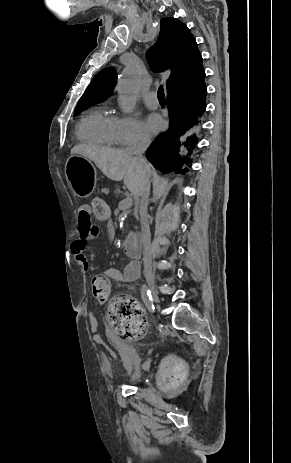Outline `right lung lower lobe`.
Returning a JSON list of instances; mask_svg holds the SVG:
<instances>
[{"mask_svg":"<svg viewBox=\"0 0 291 463\" xmlns=\"http://www.w3.org/2000/svg\"><path fill=\"white\" fill-rule=\"evenodd\" d=\"M205 72L197 86L190 90L168 92L167 106L170 112V127L149 146L146 156L152 165L163 173L181 170L183 163L192 162L191 156L198 143L202 116L206 110ZM191 167V165L189 166Z\"/></svg>","mask_w":291,"mask_h":463,"instance_id":"1","label":"right lung lower lobe"}]
</instances>
